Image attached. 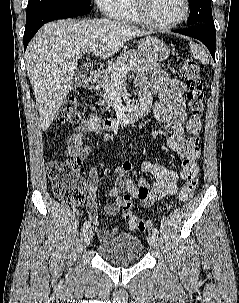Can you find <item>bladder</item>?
<instances>
[{
    "label": "bladder",
    "mask_w": 239,
    "mask_h": 303,
    "mask_svg": "<svg viewBox=\"0 0 239 303\" xmlns=\"http://www.w3.org/2000/svg\"><path fill=\"white\" fill-rule=\"evenodd\" d=\"M100 256L114 264L128 265L138 262L143 253L142 240L129 233H120L108 242L98 245Z\"/></svg>",
    "instance_id": "1"
}]
</instances>
